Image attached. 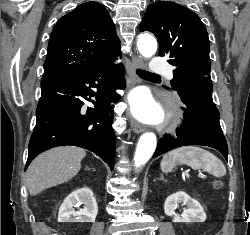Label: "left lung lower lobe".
<instances>
[{
    "label": "left lung lower lobe",
    "instance_id": "0a47b994",
    "mask_svg": "<svg viewBox=\"0 0 250 235\" xmlns=\"http://www.w3.org/2000/svg\"><path fill=\"white\" fill-rule=\"evenodd\" d=\"M176 90L185 105L184 123L175 138L165 135L159 140L153 158L176 147L203 145L217 149L227 160L228 147L212 99L211 78H189Z\"/></svg>",
    "mask_w": 250,
    "mask_h": 235
}]
</instances>
